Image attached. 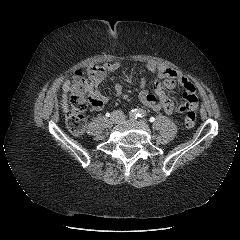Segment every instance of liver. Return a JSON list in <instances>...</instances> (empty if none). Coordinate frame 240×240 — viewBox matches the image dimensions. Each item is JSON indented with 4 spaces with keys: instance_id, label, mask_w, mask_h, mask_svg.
<instances>
[{
    "instance_id": "6515ba94",
    "label": "liver",
    "mask_w": 240,
    "mask_h": 240,
    "mask_svg": "<svg viewBox=\"0 0 240 240\" xmlns=\"http://www.w3.org/2000/svg\"><path fill=\"white\" fill-rule=\"evenodd\" d=\"M62 89H63V94L62 96V100H61V107L63 109L64 113L68 112V103H67V93L70 91V81L66 80L64 82V84L62 85Z\"/></svg>"
}]
</instances>
